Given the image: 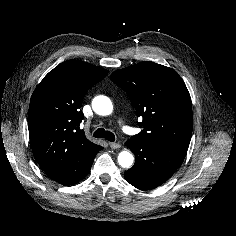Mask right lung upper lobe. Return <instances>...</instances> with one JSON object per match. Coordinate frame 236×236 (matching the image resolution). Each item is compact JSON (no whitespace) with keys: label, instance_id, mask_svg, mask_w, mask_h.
Returning a JSON list of instances; mask_svg holds the SVG:
<instances>
[{"label":"right lung upper lobe","instance_id":"obj_1","mask_svg":"<svg viewBox=\"0 0 236 236\" xmlns=\"http://www.w3.org/2000/svg\"><path fill=\"white\" fill-rule=\"evenodd\" d=\"M108 71L87 62L68 60L51 70L34 90L28 114L33 155L46 171L102 149L79 126L86 92Z\"/></svg>","mask_w":236,"mask_h":236}]
</instances>
